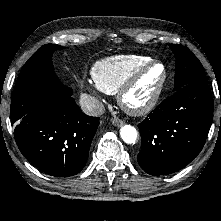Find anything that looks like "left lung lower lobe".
<instances>
[{"mask_svg": "<svg viewBox=\"0 0 221 221\" xmlns=\"http://www.w3.org/2000/svg\"><path fill=\"white\" fill-rule=\"evenodd\" d=\"M207 82H193L165 99L138 127V163L148 174L167 175L188 165L201 151L213 119Z\"/></svg>", "mask_w": 221, "mask_h": 221, "instance_id": "left-lung-lower-lobe-1", "label": "left lung lower lobe"}]
</instances>
